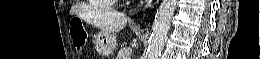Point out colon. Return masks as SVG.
<instances>
[{"label": "colon", "mask_w": 261, "mask_h": 59, "mask_svg": "<svg viewBox=\"0 0 261 59\" xmlns=\"http://www.w3.org/2000/svg\"><path fill=\"white\" fill-rule=\"evenodd\" d=\"M75 40H76L78 43H82V41H83V36H82L80 33H76V34H75Z\"/></svg>", "instance_id": "5ec220e1"}]
</instances>
